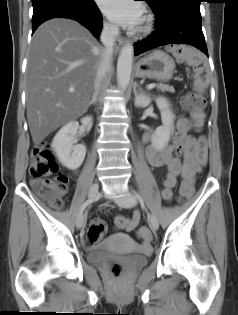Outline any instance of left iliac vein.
Returning <instances> with one entry per match:
<instances>
[{
    "instance_id": "left-iliac-vein-1",
    "label": "left iliac vein",
    "mask_w": 238,
    "mask_h": 315,
    "mask_svg": "<svg viewBox=\"0 0 238 315\" xmlns=\"http://www.w3.org/2000/svg\"><path fill=\"white\" fill-rule=\"evenodd\" d=\"M115 202L121 207L129 208L136 204L137 199L135 196H133L129 192H126L123 196L116 197ZM149 224L153 230H157L159 228L158 219L154 214L150 215Z\"/></svg>"
}]
</instances>
